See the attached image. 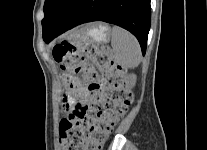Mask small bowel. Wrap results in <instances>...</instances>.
I'll list each match as a JSON object with an SVG mask.
<instances>
[{
  "instance_id": "1",
  "label": "small bowel",
  "mask_w": 207,
  "mask_h": 150,
  "mask_svg": "<svg viewBox=\"0 0 207 150\" xmlns=\"http://www.w3.org/2000/svg\"><path fill=\"white\" fill-rule=\"evenodd\" d=\"M75 79V87H70V95L69 96H65L64 99H77L80 98L84 101H88L90 99L88 93L86 92V90L84 89V87L82 86V84L76 79ZM69 108V107H67Z\"/></svg>"
}]
</instances>
